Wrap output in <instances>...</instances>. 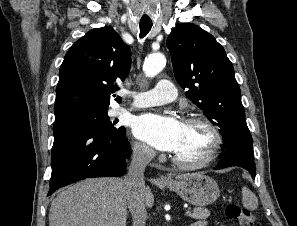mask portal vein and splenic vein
Here are the masks:
<instances>
[{"label": "portal vein and splenic vein", "instance_id": "obj_1", "mask_svg": "<svg viewBox=\"0 0 297 226\" xmlns=\"http://www.w3.org/2000/svg\"><path fill=\"white\" fill-rule=\"evenodd\" d=\"M190 213H191L190 211H186V212H185V216H189Z\"/></svg>", "mask_w": 297, "mask_h": 226}]
</instances>
